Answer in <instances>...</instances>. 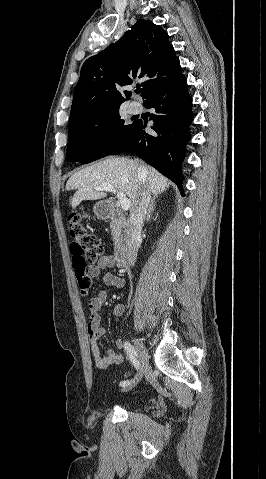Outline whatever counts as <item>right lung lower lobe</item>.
I'll list each match as a JSON object with an SVG mask.
<instances>
[{
  "label": "right lung lower lobe",
  "mask_w": 266,
  "mask_h": 479,
  "mask_svg": "<svg viewBox=\"0 0 266 479\" xmlns=\"http://www.w3.org/2000/svg\"><path fill=\"white\" fill-rule=\"evenodd\" d=\"M192 98L187 91V80L181 74L175 80L159 87L144 101L146 108H154L150 116L155 132H145L141 120L133 126L124 140L110 153L131 152L175 182L182 191L181 163L185 146L190 140L188 126L193 120Z\"/></svg>",
  "instance_id": "1"
}]
</instances>
